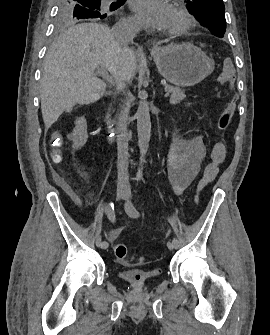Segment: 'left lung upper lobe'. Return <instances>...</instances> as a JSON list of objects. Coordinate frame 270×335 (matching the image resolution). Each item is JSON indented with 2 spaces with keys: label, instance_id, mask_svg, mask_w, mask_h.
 Instances as JSON below:
<instances>
[{
  "label": "left lung upper lobe",
  "instance_id": "5c2ea615",
  "mask_svg": "<svg viewBox=\"0 0 270 335\" xmlns=\"http://www.w3.org/2000/svg\"><path fill=\"white\" fill-rule=\"evenodd\" d=\"M188 11L218 37L226 31L225 6L222 0H187Z\"/></svg>",
  "mask_w": 270,
  "mask_h": 335
}]
</instances>
